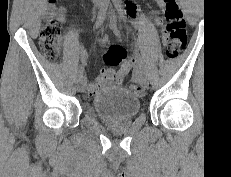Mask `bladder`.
Here are the masks:
<instances>
[{
    "instance_id": "1",
    "label": "bladder",
    "mask_w": 231,
    "mask_h": 177,
    "mask_svg": "<svg viewBox=\"0 0 231 177\" xmlns=\"http://www.w3.org/2000/svg\"><path fill=\"white\" fill-rule=\"evenodd\" d=\"M92 105L99 117L109 121L132 118L140 109L137 96L121 87L103 88L93 98Z\"/></svg>"
}]
</instances>
